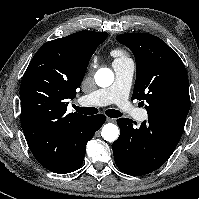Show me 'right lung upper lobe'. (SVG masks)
Wrapping results in <instances>:
<instances>
[{"label":"right lung upper lobe","mask_w":199,"mask_h":199,"mask_svg":"<svg viewBox=\"0 0 199 199\" xmlns=\"http://www.w3.org/2000/svg\"><path fill=\"white\" fill-rule=\"evenodd\" d=\"M107 36L105 32L79 31L40 47L20 86L24 135L44 145L58 144L76 122L86 117L67 114V100L76 96L91 56Z\"/></svg>","instance_id":"1"}]
</instances>
